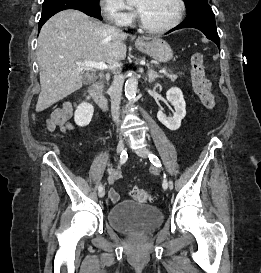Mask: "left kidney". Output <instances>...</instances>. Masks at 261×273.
Returning <instances> with one entry per match:
<instances>
[{
    "mask_svg": "<svg viewBox=\"0 0 261 273\" xmlns=\"http://www.w3.org/2000/svg\"><path fill=\"white\" fill-rule=\"evenodd\" d=\"M167 100L174 106L173 116L167 117L163 110L157 113L158 120L169 130L175 131L180 128L181 121L186 115V103L182 91L177 87L170 88L166 93Z\"/></svg>",
    "mask_w": 261,
    "mask_h": 273,
    "instance_id": "obj_1",
    "label": "left kidney"
}]
</instances>
